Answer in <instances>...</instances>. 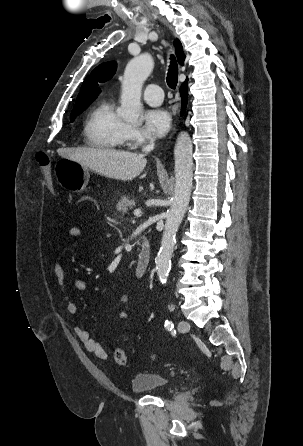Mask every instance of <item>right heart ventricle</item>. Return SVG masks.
Returning <instances> with one entry per match:
<instances>
[{
    "label": "right heart ventricle",
    "instance_id": "right-heart-ventricle-1",
    "mask_svg": "<svg viewBox=\"0 0 303 446\" xmlns=\"http://www.w3.org/2000/svg\"><path fill=\"white\" fill-rule=\"evenodd\" d=\"M125 123L116 114L110 99L101 100L88 113L83 126L86 145L98 149H115L123 145Z\"/></svg>",
    "mask_w": 303,
    "mask_h": 446
}]
</instances>
